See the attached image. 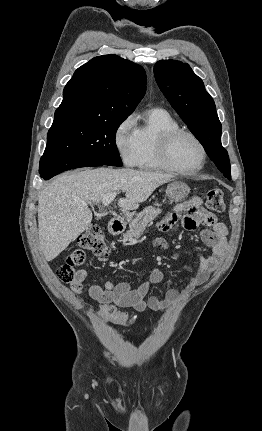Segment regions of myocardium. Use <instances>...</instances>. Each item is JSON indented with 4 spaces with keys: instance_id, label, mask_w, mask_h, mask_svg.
<instances>
[{
    "instance_id": "myocardium-1",
    "label": "myocardium",
    "mask_w": 262,
    "mask_h": 431,
    "mask_svg": "<svg viewBox=\"0 0 262 431\" xmlns=\"http://www.w3.org/2000/svg\"><path fill=\"white\" fill-rule=\"evenodd\" d=\"M180 135H186L193 139L201 151V162L195 169L191 171H187L180 168L173 162L171 158L172 143ZM158 159L165 170L172 171L183 176H193L204 168L207 160V150L205 145L197 135L187 129H182L178 127L165 130L161 133L158 142Z\"/></svg>"
}]
</instances>
